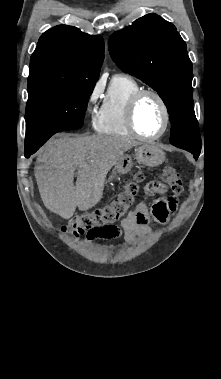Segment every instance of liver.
<instances>
[{"instance_id": "obj_1", "label": "liver", "mask_w": 221, "mask_h": 379, "mask_svg": "<svg viewBox=\"0 0 221 379\" xmlns=\"http://www.w3.org/2000/svg\"><path fill=\"white\" fill-rule=\"evenodd\" d=\"M136 145L128 138L107 135L50 139L38 151L35 168L45 207L63 219H70L77 207L81 211L94 207L103 196L107 173Z\"/></svg>"}]
</instances>
